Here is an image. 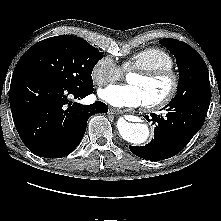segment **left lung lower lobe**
Listing matches in <instances>:
<instances>
[{
  "label": "left lung lower lobe",
  "mask_w": 221,
  "mask_h": 221,
  "mask_svg": "<svg viewBox=\"0 0 221 221\" xmlns=\"http://www.w3.org/2000/svg\"><path fill=\"white\" fill-rule=\"evenodd\" d=\"M211 91L184 102L169 103L165 117L151 114L154 139L145 146H130V150L146 160H163L179 153L204 124ZM146 119L149 121L148 115Z\"/></svg>",
  "instance_id": "1"
}]
</instances>
